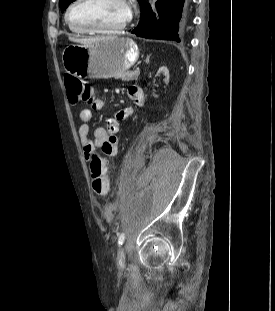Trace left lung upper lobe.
<instances>
[{
	"mask_svg": "<svg viewBox=\"0 0 275 311\" xmlns=\"http://www.w3.org/2000/svg\"><path fill=\"white\" fill-rule=\"evenodd\" d=\"M73 1H75V0H60L61 11H64L69 6V4L72 3ZM143 1L144 0H138L140 6H141Z\"/></svg>",
	"mask_w": 275,
	"mask_h": 311,
	"instance_id": "5c2ea615",
	"label": "left lung upper lobe"
}]
</instances>
